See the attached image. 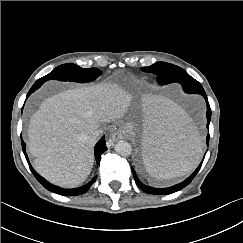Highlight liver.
<instances>
[{"label":"liver","instance_id":"obj_1","mask_svg":"<svg viewBox=\"0 0 243 243\" xmlns=\"http://www.w3.org/2000/svg\"><path fill=\"white\" fill-rule=\"evenodd\" d=\"M130 96L118 85L79 86L47 98L29 122L28 150L37 172L61 187L74 188L91 173L93 133L126 113Z\"/></svg>","mask_w":243,"mask_h":243}]
</instances>
